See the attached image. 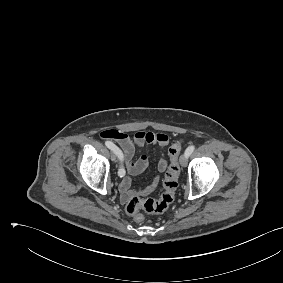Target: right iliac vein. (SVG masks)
Instances as JSON below:
<instances>
[{"instance_id": "obj_1", "label": "right iliac vein", "mask_w": 283, "mask_h": 283, "mask_svg": "<svg viewBox=\"0 0 283 283\" xmlns=\"http://www.w3.org/2000/svg\"><path fill=\"white\" fill-rule=\"evenodd\" d=\"M110 158L113 162H116V155L114 152L111 153Z\"/></svg>"}]
</instances>
